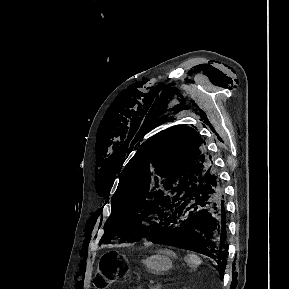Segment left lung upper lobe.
<instances>
[{
  "label": "left lung upper lobe",
  "mask_w": 289,
  "mask_h": 289,
  "mask_svg": "<svg viewBox=\"0 0 289 289\" xmlns=\"http://www.w3.org/2000/svg\"><path fill=\"white\" fill-rule=\"evenodd\" d=\"M204 144L186 126L171 127L144 142L121 173L102 242H133L154 231L159 224L143 230L140 222L151 213L163 221L172 199L204 175L211 165Z\"/></svg>",
  "instance_id": "left-lung-upper-lobe-1"
}]
</instances>
